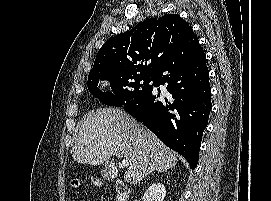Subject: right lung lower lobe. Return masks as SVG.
Masks as SVG:
<instances>
[{
  "label": "right lung lower lobe",
  "mask_w": 271,
  "mask_h": 201,
  "mask_svg": "<svg viewBox=\"0 0 271 201\" xmlns=\"http://www.w3.org/2000/svg\"><path fill=\"white\" fill-rule=\"evenodd\" d=\"M194 33V32H193ZM195 35V34H194ZM196 36V35H195ZM206 55L188 35L177 51L154 74L153 87L166 85L162 99L153 87L123 107L195 169L203 131L212 108Z\"/></svg>",
  "instance_id": "right-lung-lower-lobe-1"
}]
</instances>
